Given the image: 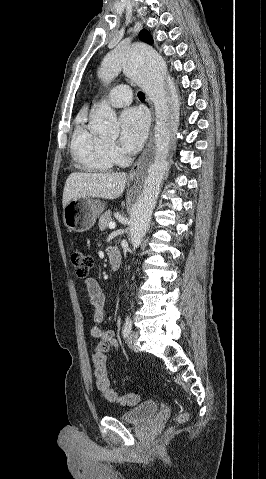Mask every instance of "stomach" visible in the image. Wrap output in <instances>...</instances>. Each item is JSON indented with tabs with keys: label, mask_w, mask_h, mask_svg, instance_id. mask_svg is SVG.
Here are the masks:
<instances>
[{
	"label": "stomach",
	"mask_w": 266,
	"mask_h": 479,
	"mask_svg": "<svg viewBox=\"0 0 266 479\" xmlns=\"http://www.w3.org/2000/svg\"><path fill=\"white\" fill-rule=\"evenodd\" d=\"M104 207L103 203L89 197L71 200L63 208L64 224L71 231L85 232L92 228L97 217L104 211Z\"/></svg>",
	"instance_id": "0dacf381"
}]
</instances>
